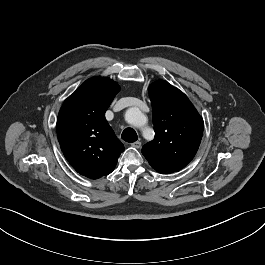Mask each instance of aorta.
Listing matches in <instances>:
<instances>
[{
    "label": "aorta",
    "mask_w": 265,
    "mask_h": 265,
    "mask_svg": "<svg viewBox=\"0 0 265 265\" xmlns=\"http://www.w3.org/2000/svg\"><path fill=\"white\" fill-rule=\"evenodd\" d=\"M143 117L142 112L136 107L129 108L125 113L126 121L133 125H138Z\"/></svg>",
    "instance_id": "1"
}]
</instances>
